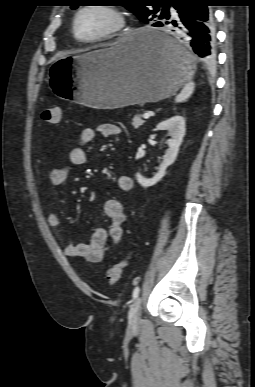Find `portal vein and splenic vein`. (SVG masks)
<instances>
[{
  "instance_id": "obj_1",
  "label": "portal vein and splenic vein",
  "mask_w": 255,
  "mask_h": 387,
  "mask_svg": "<svg viewBox=\"0 0 255 387\" xmlns=\"http://www.w3.org/2000/svg\"><path fill=\"white\" fill-rule=\"evenodd\" d=\"M151 114L149 112L143 114L144 119H149Z\"/></svg>"
}]
</instances>
